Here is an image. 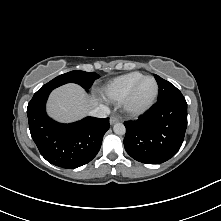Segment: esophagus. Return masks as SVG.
<instances>
[{
    "label": "esophagus",
    "instance_id": "1",
    "mask_svg": "<svg viewBox=\"0 0 221 221\" xmlns=\"http://www.w3.org/2000/svg\"><path fill=\"white\" fill-rule=\"evenodd\" d=\"M119 120H120V119H119L118 116L112 115V116L110 117V124L113 125V124L117 123Z\"/></svg>",
    "mask_w": 221,
    "mask_h": 221
}]
</instances>
